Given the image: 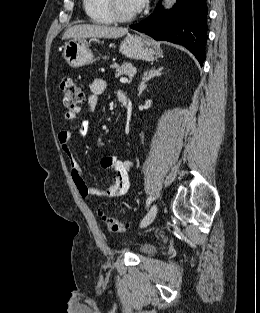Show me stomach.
<instances>
[{"instance_id": "0dacf381", "label": "stomach", "mask_w": 260, "mask_h": 313, "mask_svg": "<svg viewBox=\"0 0 260 313\" xmlns=\"http://www.w3.org/2000/svg\"><path fill=\"white\" fill-rule=\"evenodd\" d=\"M120 52L132 59L154 61L162 55L160 46L144 35H127L121 42ZM63 57L70 67H81L94 61L85 38L71 39L63 47Z\"/></svg>"}]
</instances>
